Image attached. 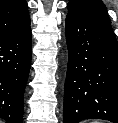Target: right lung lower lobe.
Here are the masks:
<instances>
[{
    "label": "right lung lower lobe",
    "mask_w": 118,
    "mask_h": 123,
    "mask_svg": "<svg viewBox=\"0 0 118 123\" xmlns=\"http://www.w3.org/2000/svg\"><path fill=\"white\" fill-rule=\"evenodd\" d=\"M30 65V25L23 31L0 38V118L9 123H22Z\"/></svg>",
    "instance_id": "right-lung-lower-lobe-1"
}]
</instances>
